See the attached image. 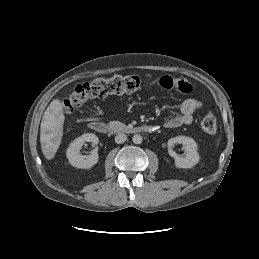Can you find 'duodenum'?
Instances as JSON below:
<instances>
[{
    "label": "duodenum",
    "mask_w": 259,
    "mask_h": 259,
    "mask_svg": "<svg viewBox=\"0 0 259 259\" xmlns=\"http://www.w3.org/2000/svg\"><path fill=\"white\" fill-rule=\"evenodd\" d=\"M89 128L100 134H108L113 132L124 133H152L155 131V127L152 125H139L134 127H122L118 125H108L100 121H92L89 123Z\"/></svg>",
    "instance_id": "410a0bca"
}]
</instances>
